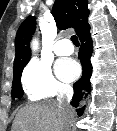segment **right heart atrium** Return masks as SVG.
Masks as SVG:
<instances>
[{
    "mask_svg": "<svg viewBox=\"0 0 117 131\" xmlns=\"http://www.w3.org/2000/svg\"><path fill=\"white\" fill-rule=\"evenodd\" d=\"M22 85L31 100H40L64 93L69 86L57 79L49 64L32 60L22 74Z\"/></svg>",
    "mask_w": 117,
    "mask_h": 131,
    "instance_id": "d8ad5b80",
    "label": "right heart atrium"
}]
</instances>
